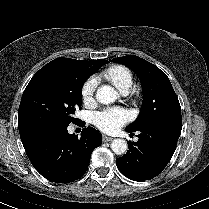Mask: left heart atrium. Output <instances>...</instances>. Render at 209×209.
<instances>
[{
    "label": "left heart atrium",
    "mask_w": 209,
    "mask_h": 209,
    "mask_svg": "<svg viewBox=\"0 0 209 209\" xmlns=\"http://www.w3.org/2000/svg\"><path fill=\"white\" fill-rule=\"evenodd\" d=\"M129 119V113L122 108H107L95 112L92 116L94 125L105 132L116 131Z\"/></svg>",
    "instance_id": "obj_1"
}]
</instances>
